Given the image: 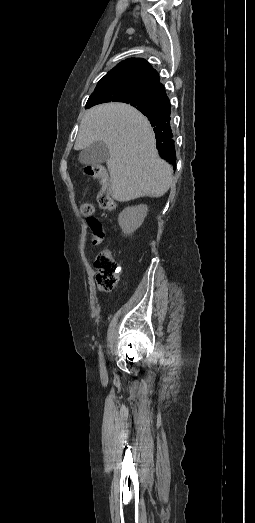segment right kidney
Listing matches in <instances>:
<instances>
[{
    "mask_svg": "<svg viewBox=\"0 0 255 523\" xmlns=\"http://www.w3.org/2000/svg\"><path fill=\"white\" fill-rule=\"evenodd\" d=\"M148 212L147 206L145 204H140V206H130V208H125L121 214H119L118 222L122 232L129 236L133 234L135 230H138L144 222Z\"/></svg>",
    "mask_w": 255,
    "mask_h": 523,
    "instance_id": "ca27d5eb",
    "label": "right kidney"
}]
</instances>
